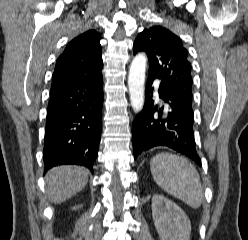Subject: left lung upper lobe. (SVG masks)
<instances>
[{
    "instance_id": "5c2ea615",
    "label": "left lung upper lobe",
    "mask_w": 248,
    "mask_h": 240,
    "mask_svg": "<svg viewBox=\"0 0 248 240\" xmlns=\"http://www.w3.org/2000/svg\"><path fill=\"white\" fill-rule=\"evenodd\" d=\"M145 52L149 59V76L158 78L178 97L192 100L191 64L181 39L169 29L153 26L138 34L134 55Z\"/></svg>"
}]
</instances>
